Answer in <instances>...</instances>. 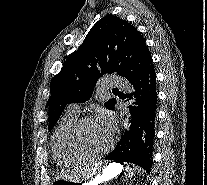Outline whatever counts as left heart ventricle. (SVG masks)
<instances>
[{
    "mask_svg": "<svg viewBox=\"0 0 207 185\" xmlns=\"http://www.w3.org/2000/svg\"><path fill=\"white\" fill-rule=\"evenodd\" d=\"M80 136L82 142L89 149L93 151H102L109 146L112 133L94 119L84 125Z\"/></svg>",
    "mask_w": 207,
    "mask_h": 185,
    "instance_id": "b2bd125f",
    "label": "left heart ventricle"
}]
</instances>
